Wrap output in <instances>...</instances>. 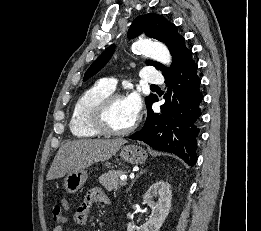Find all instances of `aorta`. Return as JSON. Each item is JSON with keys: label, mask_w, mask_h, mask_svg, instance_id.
Wrapping results in <instances>:
<instances>
[{"label": "aorta", "mask_w": 261, "mask_h": 231, "mask_svg": "<svg viewBox=\"0 0 261 231\" xmlns=\"http://www.w3.org/2000/svg\"><path fill=\"white\" fill-rule=\"evenodd\" d=\"M133 51L137 54H144L152 59L164 64H171V55L168 48L157 42H151L148 40H140L133 45Z\"/></svg>", "instance_id": "1"}]
</instances>
